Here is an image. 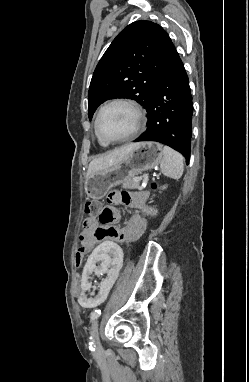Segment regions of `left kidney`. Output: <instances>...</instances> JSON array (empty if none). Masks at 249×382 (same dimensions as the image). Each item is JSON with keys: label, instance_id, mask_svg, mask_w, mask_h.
Returning <instances> with one entry per match:
<instances>
[{"label": "left kidney", "instance_id": "obj_1", "mask_svg": "<svg viewBox=\"0 0 249 382\" xmlns=\"http://www.w3.org/2000/svg\"><path fill=\"white\" fill-rule=\"evenodd\" d=\"M166 188L167 185L162 186ZM114 244L113 240H101L86 261L76 295L81 309L104 307L109 288L116 286V277L122 273L123 251L121 245Z\"/></svg>", "mask_w": 249, "mask_h": 382}]
</instances>
